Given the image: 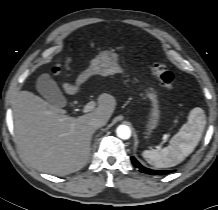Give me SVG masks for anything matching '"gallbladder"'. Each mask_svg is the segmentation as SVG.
I'll return each instance as SVG.
<instances>
[{
	"label": "gallbladder",
	"instance_id": "1",
	"mask_svg": "<svg viewBox=\"0 0 218 210\" xmlns=\"http://www.w3.org/2000/svg\"><path fill=\"white\" fill-rule=\"evenodd\" d=\"M36 89L50 104L58 107L65 104L64 96L49 74L44 73L37 78Z\"/></svg>",
	"mask_w": 218,
	"mask_h": 210
}]
</instances>
